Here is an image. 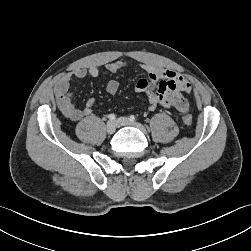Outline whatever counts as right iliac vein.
<instances>
[{"label":"right iliac vein","mask_w":251,"mask_h":251,"mask_svg":"<svg viewBox=\"0 0 251 251\" xmlns=\"http://www.w3.org/2000/svg\"><path fill=\"white\" fill-rule=\"evenodd\" d=\"M116 122L115 121H108L106 125V131L108 134H113L116 131Z\"/></svg>","instance_id":"obj_1"}]
</instances>
